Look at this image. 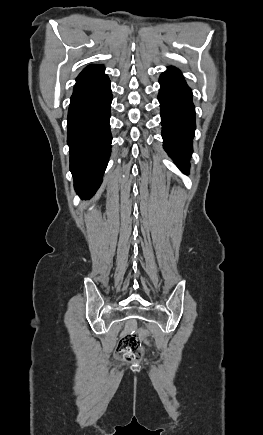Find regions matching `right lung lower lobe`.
<instances>
[{"label": "right lung lower lobe", "instance_id": "right-lung-lower-lobe-1", "mask_svg": "<svg viewBox=\"0 0 263 435\" xmlns=\"http://www.w3.org/2000/svg\"><path fill=\"white\" fill-rule=\"evenodd\" d=\"M104 70L89 65L78 75L68 110L70 170L75 190L85 199L99 188L111 153L112 93Z\"/></svg>", "mask_w": 263, "mask_h": 435}]
</instances>
